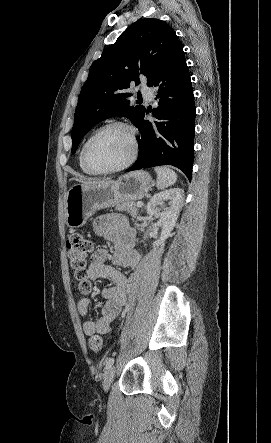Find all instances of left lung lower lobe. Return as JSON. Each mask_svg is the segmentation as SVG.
Listing matches in <instances>:
<instances>
[{"instance_id": "1", "label": "left lung lower lobe", "mask_w": 271, "mask_h": 443, "mask_svg": "<svg viewBox=\"0 0 271 443\" xmlns=\"http://www.w3.org/2000/svg\"><path fill=\"white\" fill-rule=\"evenodd\" d=\"M157 87L158 107L145 111L137 126L139 156L126 171L173 165L192 178L194 159L195 103L190 73L182 45L176 46L151 77ZM148 112L158 120H144Z\"/></svg>"}]
</instances>
